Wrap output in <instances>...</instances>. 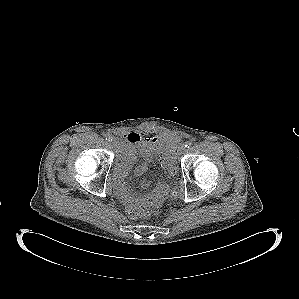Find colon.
<instances>
[{"mask_svg": "<svg viewBox=\"0 0 299 299\" xmlns=\"http://www.w3.org/2000/svg\"><path fill=\"white\" fill-rule=\"evenodd\" d=\"M171 170H172L173 173L176 174L177 173V166L173 165ZM180 192H181L180 189L178 187H175L171 191L170 197L172 199H176V198L179 197ZM125 211H126L127 215L131 218H147V217L159 214L158 210H148V209H145V208H143L139 205H136V204H128L125 207Z\"/></svg>", "mask_w": 299, "mask_h": 299, "instance_id": "1", "label": "colon"}]
</instances>
